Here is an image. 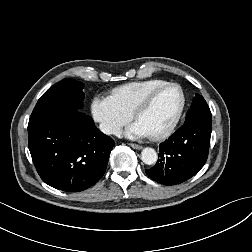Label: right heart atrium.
I'll list each match as a JSON object with an SVG mask.
<instances>
[{
    "instance_id": "d8ad5b80",
    "label": "right heart atrium",
    "mask_w": 252,
    "mask_h": 252,
    "mask_svg": "<svg viewBox=\"0 0 252 252\" xmlns=\"http://www.w3.org/2000/svg\"><path fill=\"white\" fill-rule=\"evenodd\" d=\"M91 115L102 132L116 135L132 119L133 114L111 96L95 95L90 103Z\"/></svg>"
}]
</instances>
